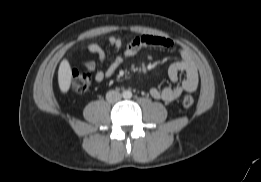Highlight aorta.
<instances>
[{"instance_id": "aorta-1", "label": "aorta", "mask_w": 261, "mask_h": 182, "mask_svg": "<svg viewBox=\"0 0 261 182\" xmlns=\"http://www.w3.org/2000/svg\"><path fill=\"white\" fill-rule=\"evenodd\" d=\"M123 98L125 99H130L132 97V92L127 90V91H124L123 94H122Z\"/></svg>"}]
</instances>
